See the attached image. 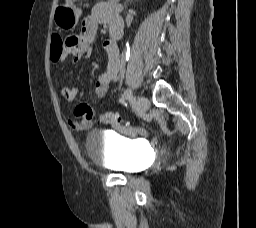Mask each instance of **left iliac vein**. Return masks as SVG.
<instances>
[{
	"mask_svg": "<svg viewBox=\"0 0 256 228\" xmlns=\"http://www.w3.org/2000/svg\"><path fill=\"white\" fill-rule=\"evenodd\" d=\"M136 105H137V110L140 113H145L148 110L149 106H150V102H149L147 97L140 96L137 99Z\"/></svg>",
	"mask_w": 256,
	"mask_h": 228,
	"instance_id": "left-iliac-vein-1",
	"label": "left iliac vein"
}]
</instances>
